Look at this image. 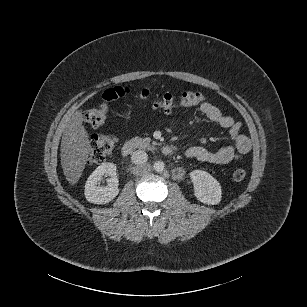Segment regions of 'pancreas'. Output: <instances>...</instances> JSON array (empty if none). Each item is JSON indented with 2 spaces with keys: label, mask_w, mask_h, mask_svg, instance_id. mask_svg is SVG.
I'll return each mask as SVG.
<instances>
[{
  "label": "pancreas",
  "mask_w": 307,
  "mask_h": 307,
  "mask_svg": "<svg viewBox=\"0 0 307 307\" xmlns=\"http://www.w3.org/2000/svg\"><path fill=\"white\" fill-rule=\"evenodd\" d=\"M147 143H150L151 142V139L149 137L145 138L144 139Z\"/></svg>",
  "instance_id": "pancreas-1"
}]
</instances>
